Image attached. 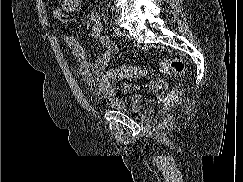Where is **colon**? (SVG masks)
Wrapping results in <instances>:
<instances>
[{
  "label": "colon",
  "mask_w": 243,
  "mask_h": 182,
  "mask_svg": "<svg viewBox=\"0 0 243 182\" xmlns=\"http://www.w3.org/2000/svg\"><path fill=\"white\" fill-rule=\"evenodd\" d=\"M159 68L164 73L179 75L184 71V62L179 58H164L159 62ZM147 71L139 66H124L109 70L108 76L113 79H133L145 76ZM178 97L177 91H172L161 98L166 105Z\"/></svg>",
  "instance_id": "1"
}]
</instances>
